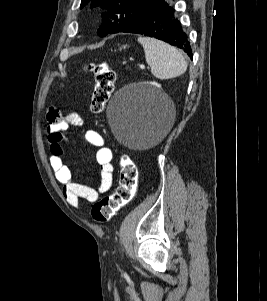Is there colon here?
Instances as JSON below:
<instances>
[{"instance_id":"1","label":"colon","mask_w":267,"mask_h":301,"mask_svg":"<svg viewBox=\"0 0 267 301\" xmlns=\"http://www.w3.org/2000/svg\"><path fill=\"white\" fill-rule=\"evenodd\" d=\"M94 73L95 86L91 99V111L101 113L109 101L115 84V72L106 62L89 65ZM138 183V170L134 162L127 156L120 160V179L116 190L99 200L92 207V217L98 223L109 222L120 208L132 201Z\"/></svg>"}]
</instances>
